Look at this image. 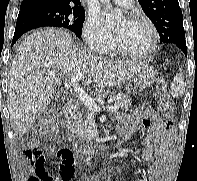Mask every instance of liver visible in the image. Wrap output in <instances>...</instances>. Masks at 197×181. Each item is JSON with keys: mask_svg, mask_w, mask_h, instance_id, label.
Masks as SVG:
<instances>
[{"mask_svg": "<svg viewBox=\"0 0 197 181\" xmlns=\"http://www.w3.org/2000/svg\"><path fill=\"white\" fill-rule=\"evenodd\" d=\"M145 64L113 61L73 44L66 31L36 30L18 46L8 75V107L13 130L25 135L53 98L60 79L51 71L67 75L86 74L97 87H114L133 77Z\"/></svg>", "mask_w": 197, "mask_h": 181, "instance_id": "1", "label": "liver"}]
</instances>
